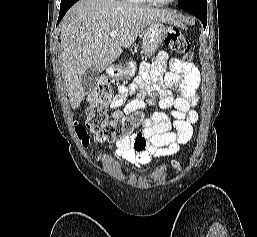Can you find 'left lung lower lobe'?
I'll list each match as a JSON object with an SVG mask.
<instances>
[{
	"label": "left lung lower lobe",
	"mask_w": 257,
	"mask_h": 237,
	"mask_svg": "<svg viewBox=\"0 0 257 237\" xmlns=\"http://www.w3.org/2000/svg\"><path fill=\"white\" fill-rule=\"evenodd\" d=\"M185 11H188L189 13L193 14L195 17H197L201 23L203 24L204 29L206 28L207 25V8L202 9V8H196V7H186V8H181Z\"/></svg>",
	"instance_id": "0a47b994"
}]
</instances>
